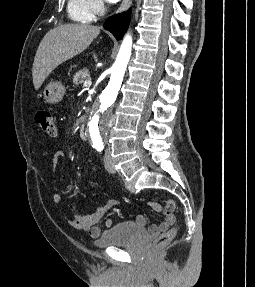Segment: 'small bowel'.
<instances>
[{
    "label": "small bowel",
    "instance_id": "1",
    "mask_svg": "<svg viewBox=\"0 0 255 287\" xmlns=\"http://www.w3.org/2000/svg\"><path fill=\"white\" fill-rule=\"evenodd\" d=\"M61 156H64V152L63 151L57 152L55 154V160ZM89 161L91 162L90 159ZM93 169L96 170L95 167H93ZM54 200L55 202H59L61 200V195L59 193H55ZM149 204L157 211L162 210L160 204L156 202H150ZM117 206L118 202L116 200L109 199L106 203L97 207L96 210L91 214H74L70 220V224L76 229L88 230L92 237L97 238L101 234V230L97 227V224L108 213V211L115 209ZM174 208H175L174 202L172 200H169L167 202L166 208L163 211L164 213L163 222L160 223L159 225H150L148 227V232L150 234L156 235L167 231L169 227L172 226L176 221L175 215L173 214ZM135 223L143 227L146 226L147 225L146 216L137 215ZM106 225L107 226L111 225L110 220L106 221Z\"/></svg>",
    "mask_w": 255,
    "mask_h": 287
}]
</instances>
